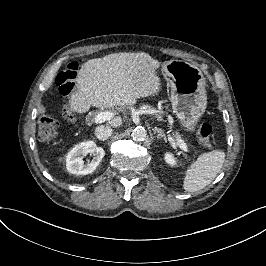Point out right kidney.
I'll use <instances>...</instances> for the list:
<instances>
[{"label":"right kidney","mask_w":266,"mask_h":266,"mask_svg":"<svg viewBox=\"0 0 266 266\" xmlns=\"http://www.w3.org/2000/svg\"><path fill=\"white\" fill-rule=\"evenodd\" d=\"M87 154L93 155V159L86 164L83 157ZM74 163V174L87 175L92 173L105 155L102 147H98L94 141L81 142L73 147L67 154Z\"/></svg>","instance_id":"right-kidney-1"}]
</instances>
